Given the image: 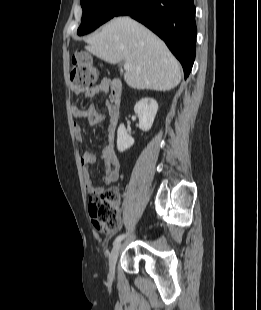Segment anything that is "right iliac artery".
Listing matches in <instances>:
<instances>
[{"label": "right iliac artery", "instance_id": "right-iliac-artery-1", "mask_svg": "<svg viewBox=\"0 0 261 310\" xmlns=\"http://www.w3.org/2000/svg\"><path fill=\"white\" fill-rule=\"evenodd\" d=\"M125 236H126V234H121V235L117 236L116 239L114 240V244L120 242Z\"/></svg>", "mask_w": 261, "mask_h": 310}]
</instances>
